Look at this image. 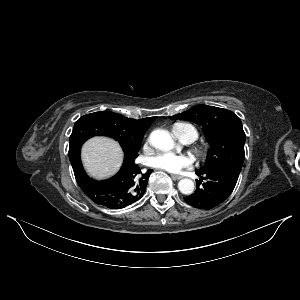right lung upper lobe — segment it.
Masks as SVG:
<instances>
[{"label":"right lung upper lobe","mask_w":300,"mask_h":300,"mask_svg":"<svg viewBox=\"0 0 300 300\" xmlns=\"http://www.w3.org/2000/svg\"><path fill=\"white\" fill-rule=\"evenodd\" d=\"M99 113L112 125L113 132L127 141L143 138V135L156 118L148 117L135 120L109 111Z\"/></svg>","instance_id":"obj_1"}]
</instances>
